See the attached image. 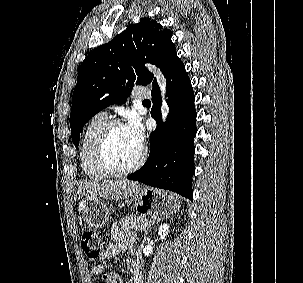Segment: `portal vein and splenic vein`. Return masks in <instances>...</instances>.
Wrapping results in <instances>:
<instances>
[{
  "instance_id": "portal-vein-and-splenic-vein-1",
  "label": "portal vein and splenic vein",
  "mask_w": 303,
  "mask_h": 283,
  "mask_svg": "<svg viewBox=\"0 0 303 283\" xmlns=\"http://www.w3.org/2000/svg\"><path fill=\"white\" fill-rule=\"evenodd\" d=\"M148 225V222L147 223H145V226H147Z\"/></svg>"
}]
</instances>
